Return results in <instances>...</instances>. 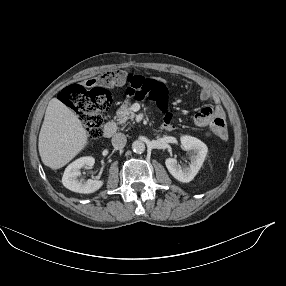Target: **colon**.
<instances>
[{"mask_svg": "<svg viewBox=\"0 0 286 286\" xmlns=\"http://www.w3.org/2000/svg\"><path fill=\"white\" fill-rule=\"evenodd\" d=\"M113 77H115V72L110 71L104 73L100 80L107 81ZM128 83L127 93L129 95H141L156 100L165 108L166 88L163 83L139 77H129ZM60 100L78 114L80 121L92 138L100 135L104 124V115L113 105V98L106 89L100 87L86 89L79 84L66 87L60 94ZM166 118L170 119L171 114L167 113ZM200 122L206 125L205 132L210 139L222 141L227 139L226 126L221 119L209 117L200 120Z\"/></svg>", "mask_w": 286, "mask_h": 286, "instance_id": "obj_1", "label": "colon"}]
</instances>
